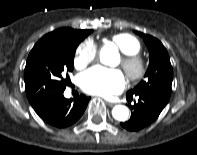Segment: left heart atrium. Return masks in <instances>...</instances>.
Here are the masks:
<instances>
[{"label": "left heart atrium", "mask_w": 197, "mask_h": 155, "mask_svg": "<svg viewBox=\"0 0 197 155\" xmlns=\"http://www.w3.org/2000/svg\"><path fill=\"white\" fill-rule=\"evenodd\" d=\"M80 86L87 93L109 96L123 90L125 78L119 70L95 66L80 76Z\"/></svg>", "instance_id": "left-heart-atrium-1"}]
</instances>
